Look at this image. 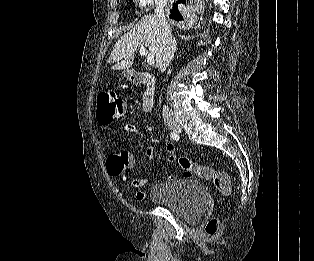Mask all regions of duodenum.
<instances>
[{
  "mask_svg": "<svg viewBox=\"0 0 314 261\" xmlns=\"http://www.w3.org/2000/svg\"><path fill=\"white\" fill-rule=\"evenodd\" d=\"M132 81L135 84L144 85V92L142 96V111L148 113L152 110L155 100V78L152 74L147 72H134L132 74Z\"/></svg>",
  "mask_w": 314,
  "mask_h": 261,
  "instance_id": "duodenum-1",
  "label": "duodenum"
}]
</instances>
